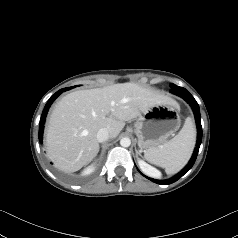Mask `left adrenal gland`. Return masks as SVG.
<instances>
[{"label":"left adrenal gland","instance_id":"left-adrenal-gland-1","mask_svg":"<svg viewBox=\"0 0 238 238\" xmlns=\"http://www.w3.org/2000/svg\"><path fill=\"white\" fill-rule=\"evenodd\" d=\"M136 154L139 155V156H141V153H140V151H138V150H136Z\"/></svg>","mask_w":238,"mask_h":238}]
</instances>
